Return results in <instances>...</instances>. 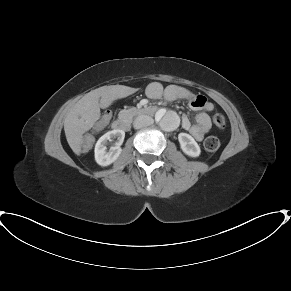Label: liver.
Wrapping results in <instances>:
<instances>
[{
  "mask_svg": "<svg viewBox=\"0 0 291 291\" xmlns=\"http://www.w3.org/2000/svg\"><path fill=\"white\" fill-rule=\"evenodd\" d=\"M137 90L123 85L103 86L82 97L64 119L66 139L73 152L80 155L83 134L89 131L100 118V108H106L113 101L125 98Z\"/></svg>",
  "mask_w": 291,
  "mask_h": 291,
  "instance_id": "1",
  "label": "liver"
}]
</instances>
